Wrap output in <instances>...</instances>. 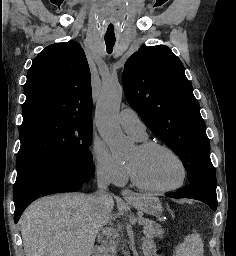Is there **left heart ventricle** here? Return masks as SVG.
Segmentation results:
<instances>
[{
    "label": "left heart ventricle",
    "instance_id": "1",
    "mask_svg": "<svg viewBox=\"0 0 236 256\" xmlns=\"http://www.w3.org/2000/svg\"><path fill=\"white\" fill-rule=\"evenodd\" d=\"M139 177L153 187H168L179 182L182 168L178 160L170 153L157 150L142 154L135 148L127 158Z\"/></svg>",
    "mask_w": 236,
    "mask_h": 256
}]
</instances>
